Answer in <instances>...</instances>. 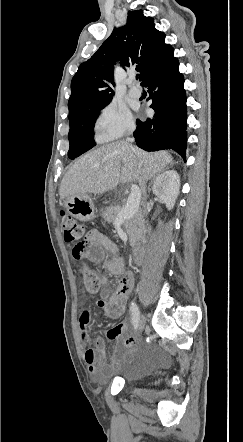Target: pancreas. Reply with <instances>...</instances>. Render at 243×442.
<instances>
[{"instance_id":"obj_1","label":"pancreas","mask_w":243,"mask_h":442,"mask_svg":"<svg viewBox=\"0 0 243 442\" xmlns=\"http://www.w3.org/2000/svg\"><path fill=\"white\" fill-rule=\"evenodd\" d=\"M123 209L119 206H107L102 209V217L107 222H115L118 214ZM122 226L125 228L127 234L130 238V244L135 245L140 237V231L142 228V222L140 216L137 212L133 214L130 218L122 220Z\"/></svg>"}]
</instances>
